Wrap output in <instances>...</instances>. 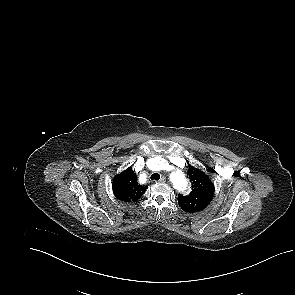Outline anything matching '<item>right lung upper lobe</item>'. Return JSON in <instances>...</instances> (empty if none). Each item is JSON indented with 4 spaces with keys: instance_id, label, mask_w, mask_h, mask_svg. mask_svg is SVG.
<instances>
[{
    "instance_id": "obj_1",
    "label": "right lung upper lobe",
    "mask_w": 295,
    "mask_h": 295,
    "mask_svg": "<svg viewBox=\"0 0 295 295\" xmlns=\"http://www.w3.org/2000/svg\"><path fill=\"white\" fill-rule=\"evenodd\" d=\"M146 187L138 184L137 177L131 167L118 174L113 180V192L122 201H136L145 192Z\"/></svg>"
}]
</instances>
